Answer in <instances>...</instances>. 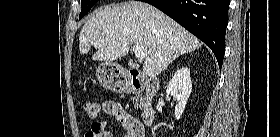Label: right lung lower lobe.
Masks as SVG:
<instances>
[{"mask_svg": "<svg viewBox=\"0 0 280 137\" xmlns=\"http://www.w3.org/2000/svg\"><path fill=\"white\" fill-rule=\"evenodd\" d=\"M149 3L198 37L222 66L229 0H138Z\"/></svg>", "mask_w": 280, "mask_h": 137, "instance_id": "right-lung-lower-lobe-1", "label": "right lung lower lobe"}]
</instances>
